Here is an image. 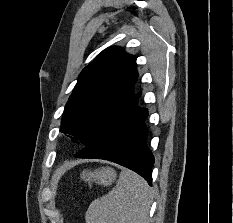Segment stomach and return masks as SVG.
I'll return each mask as SVG.
<instances>
[{"mask_svg":"<svg viewBox=\"0 0 233 223\" xmlns=\"http://www.w3.org/2000/svg\"><path fill=\"white\" fill-rule=\"evenodd\" d=\"M81 179L83 181H88V183H98V185H111L116 177V171L111 169V167H102V169H84L80 173Z\"/></svg>","mask_w":233,"mask_h":223,"instance_id":"obj_1","label":"stomach"}]
</instances>
